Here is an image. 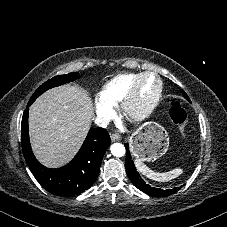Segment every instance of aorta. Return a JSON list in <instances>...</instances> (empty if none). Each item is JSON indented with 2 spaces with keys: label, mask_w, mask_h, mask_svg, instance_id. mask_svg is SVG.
Returning a JSON list of instances; mask_svg holds the SVG:
<instances>
[{
  "label": "aorta",
  "mask_w": 227,
  "mask_h": 227,
  "mask_svg": "<svg viewBox=\"0 0 227 227\" xmlns=\"http://www.w3.org/2000/svg\"><path fill=\"white\" fill-rule=\"evenodd\" d=\"M111 153L115 157H122L125 155V147L121 143H114L110 147Z\"/></svg>",
  "instance_id": "762f6f07"
}]
</instances>
